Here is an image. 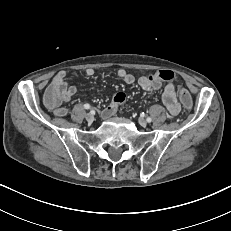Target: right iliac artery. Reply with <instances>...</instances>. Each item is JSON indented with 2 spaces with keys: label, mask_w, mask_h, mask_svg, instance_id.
I'll return each instance as SVG.
<instances>
[{
  "label": "right iliac artery",
  "mask_w": 231,
  "mask_h": 231,
  "mask_svg": "<svg viewBox=\"0 0 231 231\" xmlns=\"http://www.w3.org/2000/svg\"><path fill=\"white\" fill-rule=\"evenodd\" d=\"M84 108H85V109H90V105H89V104H85V105H84Z\"/></svg>",
  "instance_id": "obj_1"
}]
</instances>
